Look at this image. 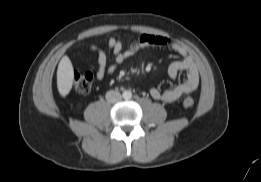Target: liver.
Masks as SVG:
<instances>
[{"instance_id": "obj_1", "label": "liver", "mask_w": 261, "mask_h": 182, "mask_svg": "<svg viewBox=\"0 0 261 182\" xmlns=\"http://www.w3.org/2000/svg\"><path fill=\"white\" fill-rule=\"evenodd\" d=\"M74 73L72 63L67 55H64L58 64L57 88L61 96L65 97L73 85Z\"/></svg>"}]
</instances>
